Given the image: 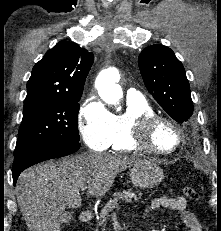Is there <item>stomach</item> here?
<instances>
[{
    "label": "stomach",
    "instance_id": "1",
    "mask_svg": "<svg viewBox=\"0 0 221 231\" xmlns=\"http://www.w3.org/2000/svg\"><path fill=\"white\" fill-rule=\"evenodd\" d=\"M133 184L139 188H153L164 179L163 170L153 161L141 160L130 169Z\"/></svg>",
    "mask_w": 221,
    "mask_h": 231
}]
</instances>
